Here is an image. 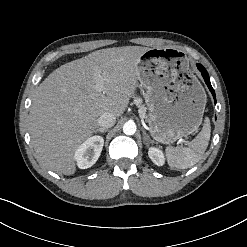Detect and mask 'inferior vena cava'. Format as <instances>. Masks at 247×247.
I'll return each instance as SVG.
<instances>
[{"instance_id":"inferior-vena-cava-1","label":"inferior vena cava","mask_w":247,"mask_h":247,"mask_svg":"<svg viewBox=\"0 0 247 247\" xmlns=\"http://www.w3.org/2000/svg\"><path fill=\"white\" fill-rule=\"evenodd\" d=\"M115 121H116V117L113 113L105 112L101 114L100 117L98 118V125L104 129L110 128L114 126Z\"/></svg>"}]
</instances>
